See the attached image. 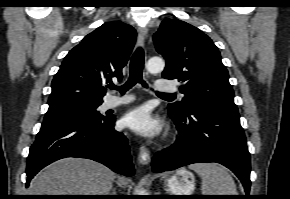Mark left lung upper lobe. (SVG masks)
<instances>
[{"label": "left lung upper lobe", "mask_w": 290, "mask_h": 199, "mask_svg": "<svg viewBox=\"0 0 290 199\" xmlns=\"http://www.w3.org/2000/svg\"><path fill=\"white\" fill-rule=\"evenodd\" d=\"M156 50L166 59L165 79H177L182 101L168 105L182 114L194 105L239 115L228 71L212 40L198 28L177 19H165L154 34Z\"/></svg>", "instance_id": "obj_1"}]
</instances>
